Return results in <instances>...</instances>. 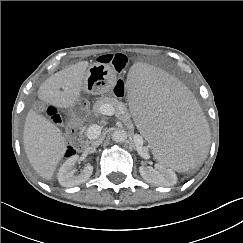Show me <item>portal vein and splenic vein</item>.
Here are the masks:
<instances>
[{"label": "portal vein and splenic vein", "mask_w": 243, "mask_h": 243, "mask_svg": "<svg viewBox=\"0 0 243 243\" xmlns=\"http://www.w3.org/2000/svg\"><path fill=\"white\" fill-rule=\"evenodd\" d=\"M102 114L112 116L115 114V111L113 107L109 104H105L102 106ZM99 126L93 125L90 126L87 130V136L91 139L93 137H96L98 134H100V129H98Z\"/></svg>", "instance_id": "18ae733b"}]
</instances>
